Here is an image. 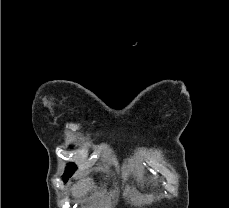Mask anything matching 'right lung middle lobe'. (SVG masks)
<instances>
[{
	"label": "right lung middle lobe",
	"mask_w": 229,
	"mask_h": 208,
	"mask_svg": "<svg viewBox=\"0 0 229 208\" xmlns=\"http://www.w3.org/2000/svg\"><path fill=\"white\" fill-rule=\"evenodd\" d=\"M77 167L74 164H69L66 168L63 178H69L76 171Z\"/></svg>",
	"instance_id": "1"
}]
</instances>
